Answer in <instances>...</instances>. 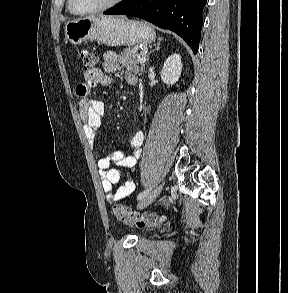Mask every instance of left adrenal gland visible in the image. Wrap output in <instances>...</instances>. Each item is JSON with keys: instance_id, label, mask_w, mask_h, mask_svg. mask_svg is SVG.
<instances>
[{"instance_id": "left-adrenal-gland-1", "label": "left adrenal gland", "mask_w": 288, "mask_h": 293, "mask_svg": "<svg viewBox=\"0 0 288 293\" xmlns=\"http://www.w3.org/2000/svg\"><path fill=\"white\" fill-rule=\"evenodd\" d=\"M161 40H162L161 38L158 39V43L155 45V48L150 53H152V52L160 49V42H161ZM150 53H148V55H147V61L149 60V54Z\"/></svg>"}]
</instances>
